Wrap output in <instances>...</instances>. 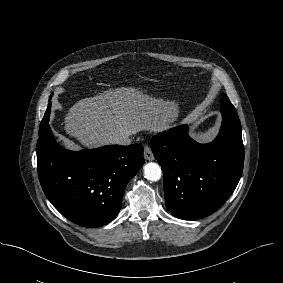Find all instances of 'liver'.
Segmentation results:
<instances>
[{
  "instance_id": "obj_1",
  "label": "liver",
  "mask_w": 283,
  "mask_h": 283,
  "mask_svg": "<svg viewBox=\"0 0 283 283\" xmlns=\"http://www.w3.org/2000/svg\"><path fill=\"white\" fill-rule=\"evenodd\" d=\"M177 113L175 102L153 98L134 87H120L76 102L66 114L64 129L82 146L95 148L111 144V138L120 133L161 131Z\"/></svg>"
}]
</instances>
